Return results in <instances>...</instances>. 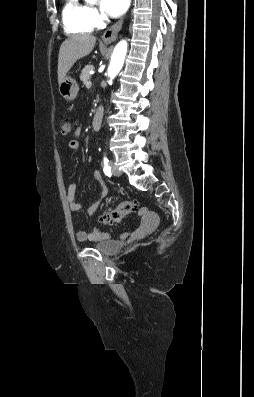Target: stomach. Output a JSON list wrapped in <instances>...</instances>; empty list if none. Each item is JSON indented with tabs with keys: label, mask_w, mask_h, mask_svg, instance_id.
I'll use <instances>...</instances> for the list:
<instances>
[{
	"label": "stomach",
	"mask_w": 254,
	"mask_h": 397,
	"mask_svg": "<svg viewBox=\"0 0 254 397\" xmlns=\"http://www.w3.org/2000/svg\"><path fill=\"white\" fill-rule=\"evenodd\" d=\"M78 91L79 85L77 81L70 76H65L63 81L59 84L60 95L68 101L74 100L78 94Z\"/></svg>",
	"instance_id": "obj_1"
}]
</instances>
